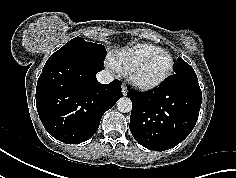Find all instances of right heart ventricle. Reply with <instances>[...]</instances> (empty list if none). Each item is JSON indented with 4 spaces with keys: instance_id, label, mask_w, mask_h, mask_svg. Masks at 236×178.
I'll return each mask as SVG.
<instances>
[{
    "instance_id": "right-heart-ventricle-1",
    "label": "right heart ventricle",
    "mask_w": 236,
    "mask_h": 178,
    "mask_svg": "<svg viewBox=\"0 0 236 178\" xmlns=\"http://www.w3.org/2000/svg\"><path fill=\"white\" fill-rule=\"evenodd\" d=\"M159 51H162V49L152 44H136L116 51L111 56L110 61L116 69L127 73L136 62L152 53Z\"/></svg>"
}]
</instances>
